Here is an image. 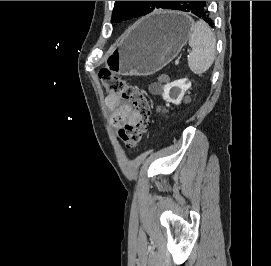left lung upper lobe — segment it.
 Segmentation results:
<instances>
[{"mask_svg": "<svg viewBox=\"0 0 271 266\" xmlns=\"http://www.w3.org/2000/svg\"><path fill=\"white\" fill-rule=\"evenodd\" d=\"M174 1H115L111 22L146 15L155 9H168Z\"/></svg>", "mask_w": 271, "mask_h": 266, "instance_id": "1", "label": "left lung upper lobe"}]
</instances>
